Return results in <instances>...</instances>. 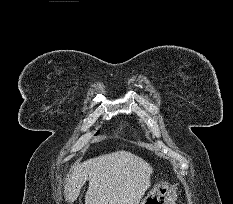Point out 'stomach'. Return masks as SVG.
<instances>
[{
    "instance_id": "stomach-1",
    "label": "stomach",
    "mask_w": 233,
    "mask_h": 204,
    "mask_svg": "<svg viewBox=\"0 0 233 204\" xmlns=\"http://www.w3.org/2000/svg\"><path fill=\"white\" fill-rule=\"evenodd\" d=\"M175 187L166 181L154 185L141 204H175Z\"/></svg>"
}]
</instances>
